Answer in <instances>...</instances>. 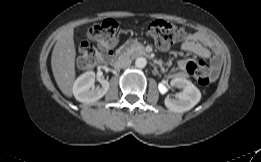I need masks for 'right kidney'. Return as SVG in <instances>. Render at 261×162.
Returning <instances> with one entry per match:
<instances>
[{
	"label": "right kidney",
	"mask_w": 261,
	"mask_h": 162,
	"mask_svg": "<svg viewBox=\"0 0 261 162\" xmlns=\"http://www.w3.org/2000/svg\"><path fill=\"white\" fill-rule=\"evenodd\" d=\"M94 82L95 73L93 71H87L75 80L72 91L79 102L93 103L107 93L110 86L107 80H102V86L97 89H92Z\"/></svg>",
	"instance_id": "1"
}]
</instances>
